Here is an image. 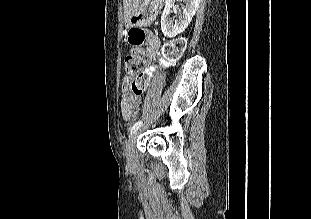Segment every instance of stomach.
Here are the masks:
<instances>
[{
	"instance_id": "1",
	"label": "stomach",
	"mask_w": 311,
	"mask_h": 219,
	"mask_svg": "<svg viewBox=\"0 0 311 219\" xmlns=\"http://www.w3.org/2000/svg\"><path fill=\"white\" fill-rule=\"evenodd\" d=\"M159 0H139L138 7L129 18L133 26L147 27L153 23L157 16Z\"/></svg>"
}]
</instances>
